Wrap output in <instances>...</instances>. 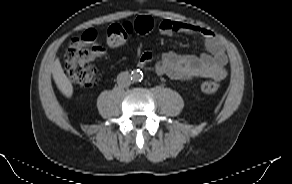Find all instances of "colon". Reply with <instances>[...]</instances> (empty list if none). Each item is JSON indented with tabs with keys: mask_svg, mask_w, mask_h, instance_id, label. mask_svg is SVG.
<instances>
[{
	"mask_svg": "<svg viewBox=\"0 0 292 184\" xmlns=\"http://www.w3.org/2000/svg\"><path fill=\"white\" fill-rule=\"evenodd\" d=\"M155 29V23L150 17H140L135 22L115 23L107 30L106 41L111 47L123 45L129 34H148ZM97 43V34L94 30H87L74 38L64 55L65 74L75 84L91 88L96 84V70L91 64L92 59L102 52ZM219 83L212 80L204 81L201 90L204 93H214L219 89Z\"/></svg>",
	"mask_w": 292,
	"mask_h": 184,
	"instance_id": "5ec220e1",
	"label": "colon"
}]
</instances>
